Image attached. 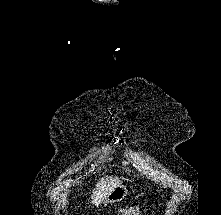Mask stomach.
I'll list each match as a JSON object with an SVG mask.
<instances>
[{"label":"stomach","mask_w":221,"mask_h":215,"mask_svg":"<svg viewBox=\"0 0 221 215\" xmlns=\"http://www.w3.org/2000/svg\"><path fill=\"white\" fill-rule=\"evenodd\" d=\"M128 194L127 187L120 184L104 200V205L113 204L122 201Z\"/></svg>","instance_id":"1"}]
</instances>
